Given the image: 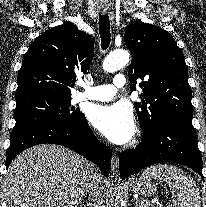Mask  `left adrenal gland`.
<instances>
[{"instance_id":"obj_1","label":"left adrenal gland","mask_w":206,"mask_h":207,"mask_svg":"<svg viewBox=\"0 0 206 207\" xmlns=\"http://www.w3.org/2000/svg\"><path fill=\"white\" fill-rule=\"evenodd\" d=\"M134 204H135V207H138L137 202H135Z\"/></svg>"}]
</instances>
